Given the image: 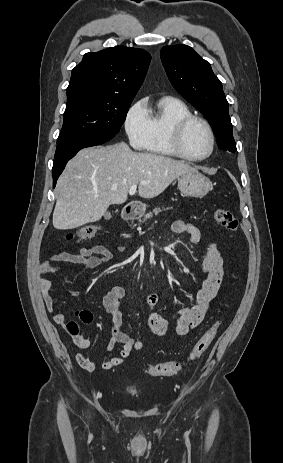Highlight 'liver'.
<instances>
[{"label": "liver", "instance_id": "obj_1", "mask_svg": "<svg viewBox=\"0 0 283 463\" xmlns=\"http://www.w3.org/2000/svg\"><path fill=\"white\" fill-rule=\"evenodd\" d=\"M195 171L169 157L134 152L123 142L82 149L57 181L53 226L68 230L99 221L111 204L126 202L132 185L139 184V196L151 199Z\"/></svg>", "mask_w": 283, "mask_h": 463}]
</instances>
